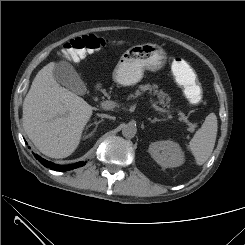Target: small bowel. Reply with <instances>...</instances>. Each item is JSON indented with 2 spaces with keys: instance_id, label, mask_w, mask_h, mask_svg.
<instances>
[{
  "instance_id": "small-bowel-1",
  "label": "small bowel",
  "mask_w": 245,
  "mask_h": 245,
  "mask_svg": "<svg viewBox=\"0 0 245 245\" xmlns=\"http://www.w3.org/2000/svg\"><path fill=\"white\" fill-rule=\"evenodd\" d=\"M180 58L174 60L172 70L176 78L193 79L195 73L193 69L185 61H179Z\"/></svg>"
}]
</instances>
